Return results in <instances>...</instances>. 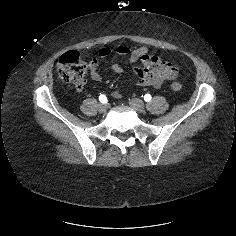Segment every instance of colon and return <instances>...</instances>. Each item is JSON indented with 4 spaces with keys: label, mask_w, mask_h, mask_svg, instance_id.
I'll return each mask as SVG.
<instances>
[{
    "label": "colon",
    "mask_w": 236,
    "mask_h": 236,
    "mask_svg": "<svg viewBox=\"0 0 236 236\" xmlns=\"http://www.w3.org/2000/svg\"><path fill=\"white\" fill-rule=\"evenodd\" d=\"M57 71L60 77L67 83L75 86L84 84V78L87 72V64L80 58L76 51H68L64 53L57 62ZM182 88V84L175 82L171 85V89L178 91Z\"/></svg>",
    "instance_id": "1"
}]
</instances>
